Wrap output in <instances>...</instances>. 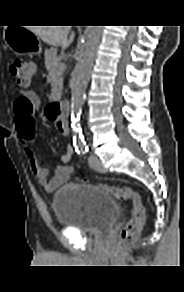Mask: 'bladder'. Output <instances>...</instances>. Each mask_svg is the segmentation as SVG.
<instances>
[{"label": "bladder", "instance_id": "31cf9c89", "mask_svg": "<svg viewBox=\"0 0 184 292\" xmlns=\"http://www.w3.org/2000/svg\"><path fill=\"white\" fill-rule=\"evenodd\" d=\"M53 211L62 227L100 233L118 218L119 206L112 194L89 184H65L55 193Z\"/></svg>", "mask_w": 184, "mask_h": 292}]
</instances>
